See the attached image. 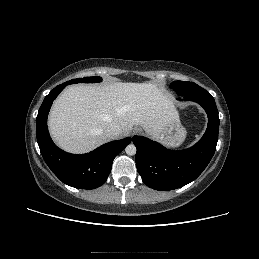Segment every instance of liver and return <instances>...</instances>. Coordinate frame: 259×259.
Instances as JSON below:
<instances>
[{"instance_id":"liver-1","label":"liver","mask_w":259,"mask_h":259,"mask_svg":"<svg viewBox=\"0 0 259 259\" xmlns=\"http://www.w3.org/2000/svg\"><path fill=\"white\" fill-rule=\"evenodd\" d=\"M177 116L172 96L153 83L78 84L58 96L48 126L59 147L85 153L110 140L105 130L112 124L121 127L120 138L134 125L157 138Z\"/></svg>"}]
</instances>
